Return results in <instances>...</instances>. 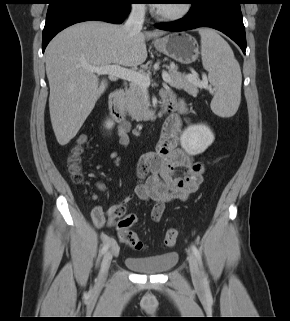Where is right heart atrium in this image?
I'll return each mask as SVG.
<instances>
[{
	"label": "right heart atrium",
	"mask_w": 290,
	"mask_h": 321,
	"mask_svg": "<svg viewBox=\"0 0 290 321\" xmlns=\"http://www.w3.org/2000/svg\"><path fill=\"white\" fill-rule=\"evenodd\" d=\"M132 11L137 14H142L145 11V5L142 0H135L134 4L132 5Z\"/></svg>",
	"instance_id": "d8ad5b80"
}]
</instances>
